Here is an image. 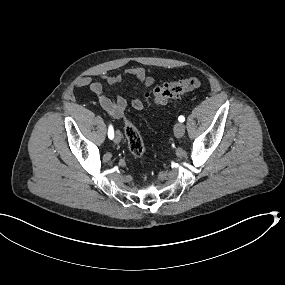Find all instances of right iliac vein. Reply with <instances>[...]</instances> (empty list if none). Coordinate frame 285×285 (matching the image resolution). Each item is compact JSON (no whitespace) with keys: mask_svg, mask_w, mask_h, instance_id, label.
<instances>
[{"mask_svg":"<svg viewBox=\"0 0 285 285\" xmlns=\"http://www.w3.org/2000/svg\"><path fill=\"white\" fill-rule=\"evenodd\" d=\"M114 141H115L116 143H119V142L121 141V134H120L119 131H116L115 137H114Z\"/></svg>","mask_w":285,"mask_h":285,"instance_id":"1","label":"right iliac vein"}]
</instances>
